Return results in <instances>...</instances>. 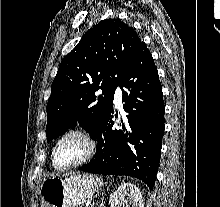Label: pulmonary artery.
<instances>
[{
  "label": "pulmonary artery",
  "instance_id": "e3ab8cb5",
  "mask_svg": "<svg viewBox=\"0 0 220 207\" xmlns=\"http://www.w3.org/2000/svg\"><path fill=\"white\" fill-rule=\"evenodd\" d=\"M114 101L118 107H121V105H122V91H121L120 87H117L115 90Z\"/></svg>",
  "mask_w": 220,
  "mask_h": 207
}]
</instances>
